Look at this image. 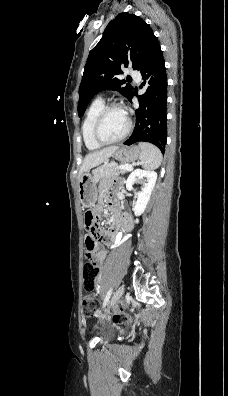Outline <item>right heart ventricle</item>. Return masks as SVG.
I'll return each instance as SVG.
<instances>
[{
    "label": "right heart ventricle",
    "mask_w": 228,
    "mask_h": 396,
    "mask_svg": "<svg viewBox=\"0 0 228 396\" xmlns=\"http://www.w3.org/2000/svg\"><path fill=\"white\" fill-rule=\"evenodd\" d=\"M104 105V101L101 98H97L90 104L85 114L81 130L84 144L89 150H97L101 147V145L94 140L92 129L95 118Z\"/></svg>",
    "instance_id": "obj_1"
}]
</instances>
